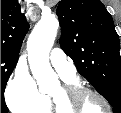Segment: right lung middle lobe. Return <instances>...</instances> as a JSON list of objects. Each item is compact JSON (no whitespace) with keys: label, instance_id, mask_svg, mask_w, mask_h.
Returning a JSON list of instances; mask_svg holds the SVG:
<instances>
[{"label":"right lung middle lobe","instance_id":"dd1d6c3e","mask_svg":"<svg viewBox=\"0 0 121 113\" xmlns=\"http://www.w3.org/2000/svg\"><path fill=\"white\" fill-rule=\"evenodd\" d=\"M18 57L1 54V110L7 111L8 108L4 102V90L9 76L16 66Z\"/></svg>","mask_w":121,"mask_h":113}]
</instances>
